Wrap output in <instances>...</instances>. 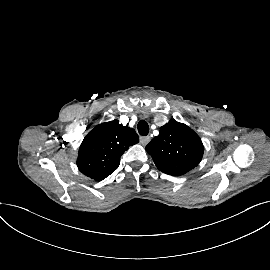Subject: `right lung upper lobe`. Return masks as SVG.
I'll return each mask as SVG.
<instances>
[{
  "label": "right lung upper lobe",
  "mask_w": 270,
  "mask_h": 270,
  "mask_svg": "<svg viewBox=\"0 0 270 270\" xmlns=\"http://www.w3.org/2000/svg\"><path fill=\"white\" fill-rule=\"evenodd\" d=\"M138 142L135 130L118 120L99 124L80 145L77 166L84 175L101 181L117 169L129 146Z\"/></svg>",
  "instance_id": "cb5924a9"
}]
</instances>
